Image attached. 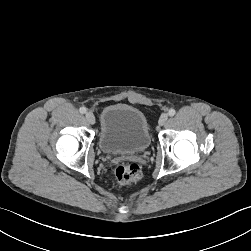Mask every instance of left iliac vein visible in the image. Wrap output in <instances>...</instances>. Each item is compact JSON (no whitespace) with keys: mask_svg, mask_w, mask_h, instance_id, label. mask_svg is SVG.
Segmentation results:
<instances>
[{"mask_svg":"<svg viewBox=\"0 0 251 251\" xmlns=\"http://www.w3.org/2000/svg\"><path fill=\"white\" fill-rule=\"evenodd\" d=\"M167 120H168V114L164 113L160 116L158 123L160 126H163V125H165Z\"/></svg>","mask_w":251,"mask_h":251,"instance_id":"left-iliac-vein-1","label":"left iliac vein"}]
</instances>
